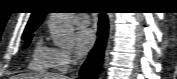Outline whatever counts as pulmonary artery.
I'll return each instance as SVG.
<instances>
[{
	"instance_id": "pulmonary-artery-1",
	"label": "pulmonary artery",
	"mask_w": 177,
	"mask_h": 79,
	"mask_svg": "<svg viewBox=\"0 0 177 79\" xmlns=\"http://www.w3.org/2000/svg\"><path fill=\"white\" fill-rule=\"evenodd\" d=\"M74 23L79 26H87L89 24V16L87 14H78L74 18Z\"/></svg>"
}]
</instances>
